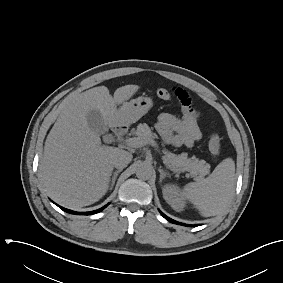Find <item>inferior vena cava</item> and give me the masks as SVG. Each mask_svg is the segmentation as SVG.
Wrapping results in <instances>:
<instances>
[{
    "label": "inferior vena cava",
    "mask_w": 283,
    "mask_h": 283,
    "mask_svg": "<svg viewBox=\"0 0 283 283\" xmlns=\"http://www.w3.org/2000/svg\"><path fill=\"white\" fill-rule=\"evenodd\" d=\"M132 160V154L125 151L120 150L114 157H113V166L117 169L125 168L130 161Z\"/></svg>",
    "instance_id": "inferior-vena-cava-1"
}]
</instances>
